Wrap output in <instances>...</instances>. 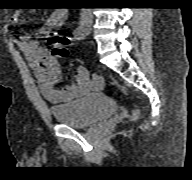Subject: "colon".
<instances>
[{
  "mask_svg": "<svg viewBox=\"0 0 192 180\" xmlns=\"http://www.w3.org/2000/svg\"><path fill=\"white\" fill-rule=\"evenodd\" d=\"M49 42L52 44V55L54 57L65 58L68 56L69 52L67 46L70 44V38L58 33H51L49 36ZM137 117V111H133L131 114V119Z\"/></svg>",
  "mask_w": 192,
  "mask_h": 180,
  "instance_id": "colon-1",
  "label": "colon"
}]
</instances>
